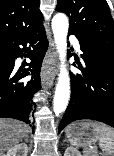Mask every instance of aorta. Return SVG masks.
Listing matches in <instances>:
<instances>
[{
  "instance_id": "obj_1",
  "label": "aorta",
  "mask_w": 114,
  "mask_h": 156,
  "mask_svg": "<svg viewBox=\"0 0 114 156\" xmlns=\"http://www.w3.org/2000/svg\"><path fill=\"white\" fill-rule=\"evenodd\" d=\"M68 28L67 16L64 13H57L52 19V30L61 60V68L53 100V110L56 115L65 111L70 98V79L65 66Z\"/></svg>"
}]
</instances>
